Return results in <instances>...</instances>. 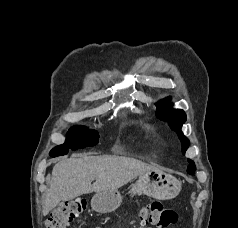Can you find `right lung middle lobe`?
<instances>
[{
	"mask_svg": "<svg viewBox=\"0 0 238 228\" xmlns=\"http://www.w3.org/2000/svg\"><path fill=\"white\" fill-rule=\"evenodd\" d=\"M99 134L95 130H88L86 127H72L68 133L65 142L56 146L50 152L55 157L66 154L69 150L83 149L95 146L98 143Z\"/></svg>",
	"mask_w": 238,
	"mask_h": 228,
	"instance_id": "dd1d6c3e",
	"label": "right lung middle lobe"
}]
</instances>
